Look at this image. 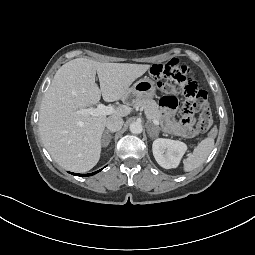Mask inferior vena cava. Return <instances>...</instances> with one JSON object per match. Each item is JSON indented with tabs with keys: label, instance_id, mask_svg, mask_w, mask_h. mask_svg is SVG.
<instances>
[{
	"label": "inferior vena cava",
	"instance_id": "inferior-vena-cava-1",
	"mask_svg": "<svg viewBox=\"0 0 255 255\" xmlns=\"http://www.w3.org/2000/svg\"><path fill=\"white\" fill-rule=\"evenodd\" d=\"M123 119L118 116L109 117L106 122V127L111 132L119 131L123 126Z\"/></svg>",
	"mask_w": 255,
	"mask_h": 255
}]
</instances>
